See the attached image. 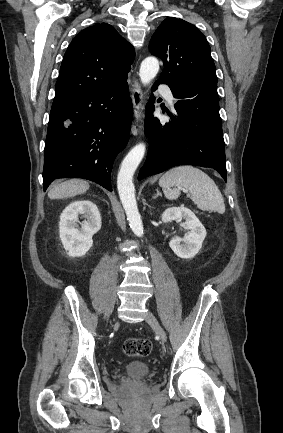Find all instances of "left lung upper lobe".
I'll use <instances>...</instances> for the list:
<instances>
[{
    "label": "left lung upper lobe",
    "instance_id": "5c2ea615",
    "mask_svg": "<svg viewBox=\"0 0 283 433\" xmlns=\"http://www.w3.org/2000/svg\"><path fill=\"white\" fill-rule=\"evenodd\" d=\"M149 51L163 60L159 81L177 99L175 109L221 124L215 65L205 36L191 23L168 17L153 34Z\"/></svg>",
    "mask_w": 283,
    "mask_h": 433
}]
</instances>
